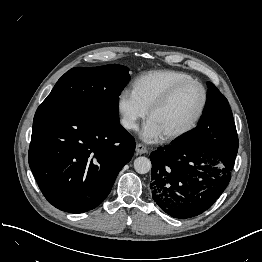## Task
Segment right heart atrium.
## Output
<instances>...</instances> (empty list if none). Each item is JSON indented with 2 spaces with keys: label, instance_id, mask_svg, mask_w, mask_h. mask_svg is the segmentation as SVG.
I'll return each instance as SVG.
<instances>
[{
  "label": "right heart atrium",
  "instance_id": "d8ad5b80",
  "mask_svg": "<svg viewBox=\"0 0 262 262\" xmlns=\"http://www.w3.org/2000/svg\"><path fill=\"white\" fill-rule=\"evenodd\" d=\"M121 124L130 131L137 130L139 122L146 117L147 110L138 102L130 90H123L118 97Z\"/></svg>",
  "mask_w": 262,
  "mask_h": 262
}]
</instances>
